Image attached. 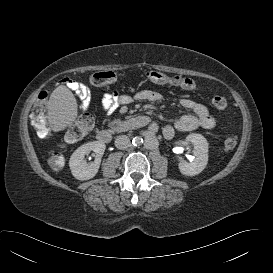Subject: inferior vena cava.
Returning <instances> with one entry per match:
<instances>
[{"instance_id": "obj_1", "label": "inferior vena cava", "mask_w": 273, "mask_h": 273, "mask_svg": "<svg viewBox=\"0 0 273 273\" xmlns=\"http://www.w3.org/2000/svg\"><path fill=\"white\" fill-rule=\"evenodd\" d=\"M130 145V139L126 135L117 136L115 139V146L118 149H126Z\"/></svg>"}]
</instances>
